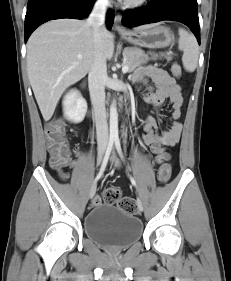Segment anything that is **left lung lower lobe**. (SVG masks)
Listing matches in <instances>:
<instances>
[{
	"label": "left lung lower lobe",
	"instance_id": "0a47b994",
	"mask_svg": "<svg viewBox=\"0 0 231 281\" xmlns=\"http://www.w3.org/2000/svg\"><path fill=\"white\" fill-rule=\"evenodd\" d=\"M162 20H174L187 25L200 44L197 0H151V3L140 11L124 13L122 24L132 27Z\"/></svg>",
	"mask_w": 231,
	"mask_h": 281
}]
</instances>
